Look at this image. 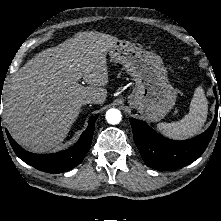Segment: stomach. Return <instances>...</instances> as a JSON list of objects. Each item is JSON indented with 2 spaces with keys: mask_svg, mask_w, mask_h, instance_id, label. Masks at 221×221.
<instances>
[{
  "mask_svg": "<svg viewBox=\"0 0 221 221\" xmlns=\"http://www.w3.org/2000/svg\"><path fill=\"white\" fill-rule=\"evenodd\" d=\"M109 55L135 79V88L128 97L130 107L152 122L164 118L175 105L176 92L161 57L124 40L116 41Z\"/></svg>",
  "mask_w": 221,
  "mask_h": 221,
  "instance_id": "0dacf381",
  "label": "stomach"
}]
</instances>
